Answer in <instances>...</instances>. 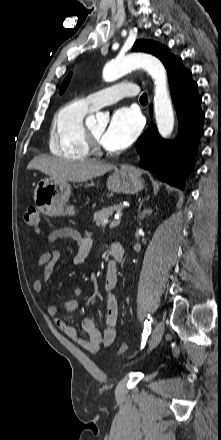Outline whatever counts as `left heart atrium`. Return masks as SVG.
<instances>
[{
	"label": "left heart atrium",
	"mask_w": 221,
	"mask_h": 440,
	"mask_svg": "<svg viewBox=\"0 0 221 440\" xmlns=\"http://www.w3.org/2000/svg\"><path fill=\"white\" fill-rule=\"evenodd\" d=\"M141 128L139 113L132 108L121 107L113 113L101 137V143L111 150L124 149L137 138Z\"/></svg>",
	"instance_id": "left-heart-atrium-1"
}]
</instances>
